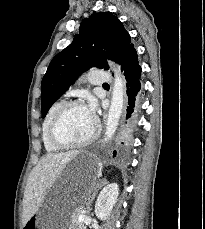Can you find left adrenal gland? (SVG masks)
Here are the masks:
<instances>
[{
    "label": "left adrenal gland",
    "instance_id": "1",
    "mask_svg": "<svg viewBox=\"0 0 205 229\" xmlns=\"http://www.w3.org/2000/svg\"><path fill=\"white\" fill-rule=\"evenodd\" d=\"M107 183H108L107 180L106 179H103V180H100V182L96 185V187L94 188V191H93L92 195L89 196L88 202L86 204V206H87V213H89L90 210H91V208H90L91 202L94 200V198L96 196V193L98 192L99 188H101L102 186H104Z\"/></svg>",
    "mask_w": 205,
    "mask_h": 229
}]
</instances>
